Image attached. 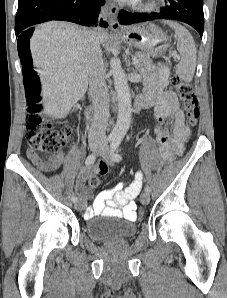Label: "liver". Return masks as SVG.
Wrapping results in <instances>:
<instances>
[{
  "label": "liver",
  "mask_w": 227,
  "mask_h": 298,
  "mask_svg": "<svg viewBox=\"0 0 227 298\" xmlns=\"http://www.w3.org/2000/svg\"><path fill=\"white\" fill-rule=\"evenodd\" d=\"M89 33L101 42L107 39L100 29L89 31L64 21L41 24L33 33L30 49L42 82L44 113L49 117H66L87 91L85 44Z\"/></svg>",
  "instance_id": "1"
}]
</instances>
